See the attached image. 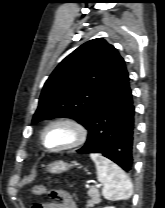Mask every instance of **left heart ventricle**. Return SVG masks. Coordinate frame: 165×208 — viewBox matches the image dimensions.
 I'll return each mask as SVG.
<instances>
[{"label": "left heart ventricle", "mask_w": 165, "mask_h": 208, "mask_svg": "<svg viewBox=\"0 0 165 208\" xmlns=\"http://www.w3.org/2000/svg\"><path fill=\"white\" fill-rule=\"evenodd\" d=\"M73 139V133L67 126H54L45 135L46 145L56 148L69 143Z\"/></svg>", "instance_id": "1"}]
</instances>
